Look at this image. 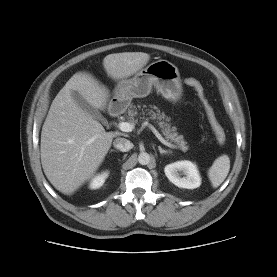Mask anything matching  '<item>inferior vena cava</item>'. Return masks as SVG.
<instances>
[{
  "label": "inferior vena cava",
  "mask_w": 277,
  "mask_h": 277,
  "mask_svg": "<svg viewBox=\"0 0 277 277\" xmlns=\"http://www.w3.org/2000/svg\"><path fill=\"white\" fill-rule=\"evenodd\" d=\"M113 145L116 149H119L122 152H127L133 148V143L125 138H116Z\"/></svg>",
  "instance_id": "1"
}]
</instances>
